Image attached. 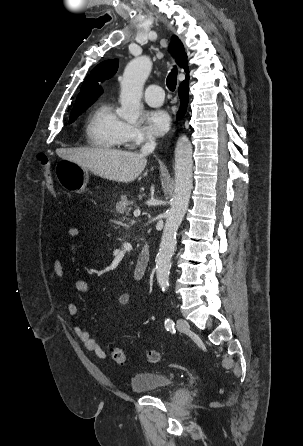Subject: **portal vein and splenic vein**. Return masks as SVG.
Returning a JSON list of instances; mask_svg holds the SVG:
<instances>
[{"label": "portal vein and splenic vein", "instance_id": "18ae733b", "mask_svg": "<svg viewBox=\"0 0 303 446\" xmlns=\"http://www.w3.org/2000/svg\"><path fill=\"white\" fill-rule=\"evenodd\" d=\"M140 213H141V211H140L139 209H136V210L134 211V216L137 217V216L140 215Z\"/></svg>", "mask_w": 303, "mask_h": 446}]
</instances>
